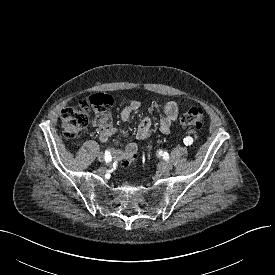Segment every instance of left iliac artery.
Returning <instances> with one entry per match:
<instances>
[{
	"label": "left iliac artery",
	"mask_w": 275,
	"mask_h": 275,
	"mask_svg": "<svg viewBox=\"0 0 275 275\" xmlns=\"http://www.w3.org/2000/svg\"><path fill=\"white\" fill-rule=\"evenodd\" d=\"M192 143H193V138L192 137L187 136V137L184 138V144L186 146H190Z\"/></svg>",
	"instance_id": "1"
}]
</instances>
